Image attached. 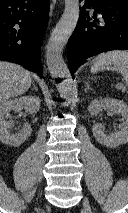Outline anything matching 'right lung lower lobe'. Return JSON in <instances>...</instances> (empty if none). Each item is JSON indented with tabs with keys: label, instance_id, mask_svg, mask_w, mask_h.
<instances>
[{
	"label": "right lung lower lobe",
	"instance_id": "obj_1",
	"mask_svg": "<svg viewBox=\"0 0 128 213\" xmlns=\"http://www.w3.org/2000/svg\"><path fill=\"white\" fill-rule=\"evenodd\" d=\"M49 0H0V58L16 60L43 75L40 46Z\"/></svg>",
	"mask_w": 128,
	"mask_h": 213
}]
</instances>
